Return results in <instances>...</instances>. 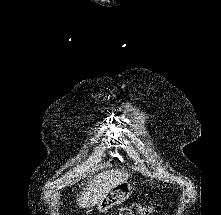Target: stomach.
<instances>
[{
	"instance_id": "1",
	"label": "stomach",
	"mask_w": 221,
	"mask_h": 215,
	"mask_svg": "<svg viewBox=\"0 0 221 215\" xmlns=\"http://www.w3.org/2000/svg\"><path fill=\"white\" fill-rule=\"evenodd\" d=\"M134 188L128 181L117 184L111 191L105 196L103 201L97 205V210L100 213L106 212L109 208L121 204L126 201L133 193Z\"/></svg>"
}]
</instances>
